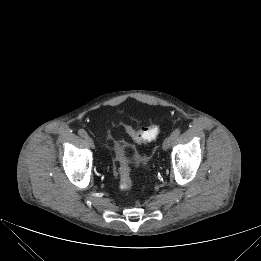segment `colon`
Instances as JSON below:
<instances>
[{
    "mask_svg": "<svg viewBox=\"0 0 261 261\" xmlns=\"http://www.w3.org/2000/svg\"><path fill=\"white\" fill-rule=\"evenodd\" d=\"M124 129L130 138L139 143L151 141L159 133V127L156 124H149L139 129H135L131 125H125ZM113 169L119 182V188L122 191H129L133 186L131 169L121 145L116 147Z\"/></svg>",
    "mask_w": 261,
    "mask_h": 261,
    "instance_id": "5ec220e1",
    "label": "colon"
}]
</instances>
